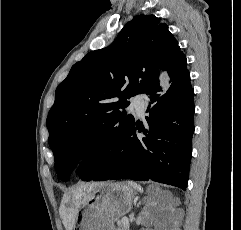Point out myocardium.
I'll use <instances>...</instances> for the list:
<instances>
[{
  "instance_id": "1",
  "label": "myocardium",
  "mask_w": 241,
  "mask_h": 230,
  "mask_svg": "<svg viewBox=\"0 0 241 230\" xmlns=\"http://www.w3.org/2000/svg\"><path fill=\"white\" fill-rule=\"evenodd\" d=\"M93 150V146L88 144V143H84L79 145L76 150H75V156L79 157V156H83L89 152H91Z\"/></svg>"
}]
</instances>
